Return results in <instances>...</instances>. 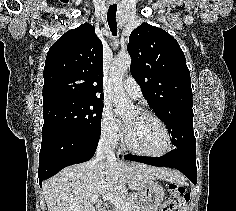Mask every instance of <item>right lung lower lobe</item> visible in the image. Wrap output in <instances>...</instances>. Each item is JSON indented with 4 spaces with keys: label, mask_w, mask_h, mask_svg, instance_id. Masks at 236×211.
<instances>
[{
    "label": "right lung lower lobe",
    "mask_w": 236,
    "mask_h": 211,
    "mask_svg": "<svg viewBox=\"0 0 236 211\" xmlns=\"http://www.w3.org/2000/svg\"><path fill=\"white\" fill-rule=\"evenodd\" d=\"M99 136L64 128L43 130L39 154L38 177L42 181L66 166L90 160L96 151Z\"/></svg>",
    "instance_id": "98d812e1"
}]
</instances>
